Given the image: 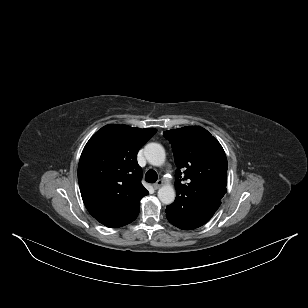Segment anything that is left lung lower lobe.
I'll use <instances>...</instances> for the list:
<instances>
[{"label": "left lung lower lobe", "instance_id": "left-lung-lower-lobe-1", "mask_svg": "<svg viewBox=\"0 0 308 308\" xmlns=\"http://www.w3.org/2000/svg\"><path fill=\"white\" fill-rule=\"evenodd\" d=\"M219 206L220 202L189 214H176L174 212H170L166 208V217L168 221L174 226L183 230H191L198 228L208 222L219 208Z\"/></svg>", "mask_w": 308, "mask_h": 308}]
</instances>
